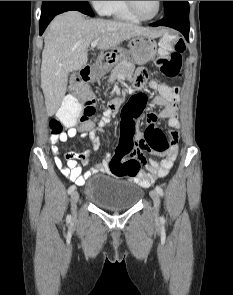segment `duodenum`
Listing matches in <instances>:
<instances>
[{"label": "duodenum", "mask_w": 233, "mask_h": 295, "mask_svg": "<svg viewBox=\"0 0 233 295\" xmlns=\"http://www.w3.org/2000/svg\"><path fill=\"white\" fill-rule=\"evenodd\" d=\"M80 76L82 77V80L85 82L91 81L94 78V71L92 69V67H84L81 70V74ZM123 104V99L122 98H116L114 100H112L110 102V109L115 111L118 108H120V106Z\"/></svg>", "instance_id": "410a0bca"}]
</instances>
